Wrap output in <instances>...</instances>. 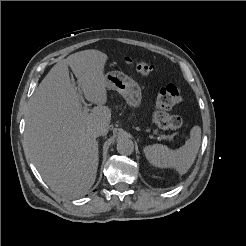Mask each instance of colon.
I'll return each instance as SVG.
<instances>
[{
    "instance_id": "obj_1",
    "label": "colon",
    "mask_w": 246,
    "mask_h": 246,
    "mask_svg": "<svg viewBox=\"0 0 246 246\" xmlns=\"http://www.w3.org/2000/svg\"><path fill=\"white\" fill-rule=\"evenodd\" d=\"M126 63L132 65L142 75H149L156 70V67L142 59L126 58ZM182 101V93L174 84L161 87L156 96L155 108L153 111L154 123L162 128L178 130L183 126V119L179 115H170L168 111Z\"/></svg>"
}]
</instances>
